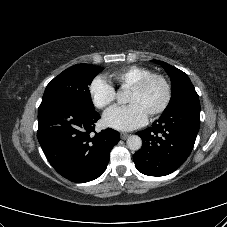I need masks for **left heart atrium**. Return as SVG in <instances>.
Returning <instances> with one entry per match:
<instances>
[{"instance_id": "39dd6f15", "label": "left heart atrium", "mask_w": 227, "mask_h": 227, "mask_svg": "<svg viewBox=\"0 0 227 227\" xmlns=\"http://www.w3.org/2000/svg\"><path fill=\"white\" fill-rule=\"evenodd\" d=\"M148 114L137 103L127 106H115L104 114L107 126L121 131H130L143 126L147 122Z\"/></svg>"}]
</instances>
